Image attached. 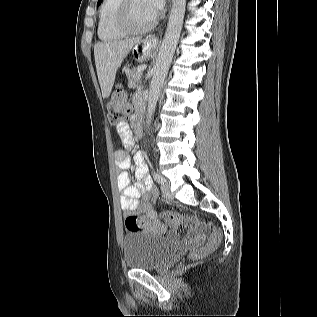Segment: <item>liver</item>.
Wrapping results in <instances>:
<instances>
[{
  "mask_svg": "<svg viewBox=\"0 0 317 317\" xmlns=\"http://www.w3.org/2000/svg\"><path fill=\"white\" fill-rule=\"evenodd\" d=\"M140 41L141 38H132L94 45L95 65L103 98L110 96L118 68L129 51Z\"/></svg>",
  "mask_w": 317,
  "mask_h": 317,
  "instance_id": "liver-1",
  "label": "liver"
}]
</instances>
